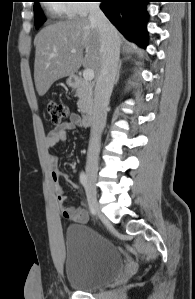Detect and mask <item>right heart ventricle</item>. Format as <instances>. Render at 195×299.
I'll list each match as a JSON object with an SVG mask.
<instances>
[{"mask_svg":"<svg viewBox=\"0 0 195 299\" xmlns=\"http://www.w3.org/2000/svg\"><path fill=\"white\" fill-rule=\"evenodd\" d=\"M52 11L59 17L72 15L67 3H54L50 5Z\"/></svg>","mask_w":195,"mask_h":299,"instance_id":"e07e8e85","label":"right heart ventricle"}]
</instances>
